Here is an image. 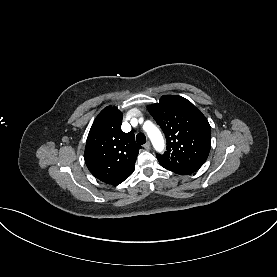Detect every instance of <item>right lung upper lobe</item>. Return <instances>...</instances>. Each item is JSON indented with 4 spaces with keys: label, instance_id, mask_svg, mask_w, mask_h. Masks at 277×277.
<instances>
[{
    "label": "right lung upper lobe",
    "instance_id": "cb5924a9",
    "mask_svg": "<svg viewBox=\"0 0 277 277\" xmlns=\"http://www.w3.org/2000/svg\"><path fill=\"white\" fill-rule=\"evenodd\" d=\"M121 124L122 113L117 107L103 109L89 131L84 154L89 171L114 186L133 173L141 148L134 140V133H124Z\"/></svg>",
    "mask_w": 277,
    "mask_h": 277
}]
</instances>
